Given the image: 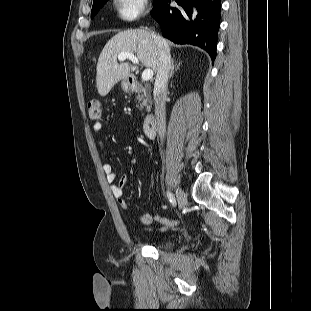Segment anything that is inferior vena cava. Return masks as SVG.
I'll use <instances>...</instances> for the list:
<instances>
[{
	"mask_svg": "<svg viewBox=\"0 0 311 311\" xmlns=\"http://www.w3.org/2000/svg\"><path fill=\"white\" fill-rule=\"evenodd\" d=\"M151 34L154 38L158 52V64L154 84V101L155 115L157 120V132L159 138L162 140L165 138L166 134L165 100L168 87L169 71L171 68V56L166 41L155 33Z\"/></svg>",
	"mask_w": 311,
	"mask_h": 311,
	"instance_id": "inferior-vena-cava-1",
	"label": "inferior vena cava"
}]
</instances>
